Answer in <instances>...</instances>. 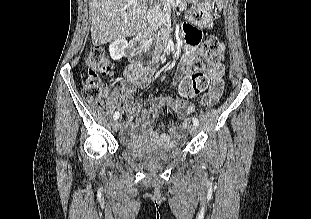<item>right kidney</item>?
<instances>
[{
	"instance_id": "obj_1",
	"label": "right kidney",
	"mask_w": 311,
	"mask_h": 219,
	"mask_svg": "<svg viewBox=\"0 0 311 219\" xmlns=\"http://www.w3.org/2000/svg\"><path fill=\"white\" fill-rule=\"evenodd\" d=\"M128 48V42L126 39L119 38L115 40L109 46L110 56L113 60H120L125 56V52Z\"/></svg>"
}]
</instances>
